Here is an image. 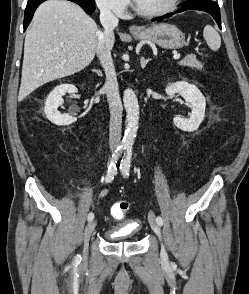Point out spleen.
<instances>
[{"mask_svg":"<svg viewBox=\"0 0 249 294\" xmlns=\"http://www.w3.org/2000/svg\"><path fill=\"white\" fill-rule=\"evenodd\" d=\"M203 36L211 50L217 51L220 48L221 37L211 25L204 27Z\"/></svg>","mask_w":249,"mask_h":294,"instance_id":"1","label":"spleen"}]
</instances>
